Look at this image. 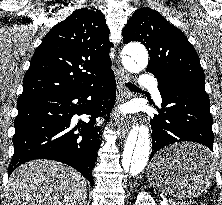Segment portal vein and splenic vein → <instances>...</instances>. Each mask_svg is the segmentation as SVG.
I'll list each match as a JSON object with an SVG mask.
<instances>
[{"instance_id": "1", "label": "portal vein and splenic vein", "mask_w": 222, "mask_h": 205, "mask_svg": "<svg viewBox=\"0 0 222 205\" xmlns=\"http://www.w3.org/2000/svg\"><path fill=\"white\" fill-rule=\"evenodd\" d=\"M167 202H170V203H171V202H172V199L167 200Z\"/></svg>"}]
</instances>
